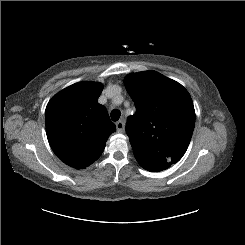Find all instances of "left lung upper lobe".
Listing matches in <instances>:
<instances>
[{"mask_svg":"<svg viewBox=\"0 0 245 245\" xmlns=\"http://www.w3.org/2000/svg\"><path fill=\"white\" fill-rule=\"evenodd\" d=\"M136 106L127 119L126 133L139 165L159 172L178 162L186 152L195 124L188 91L156 71L132 73L124 79Z\"/></svg>","mask_w":245,"mask_h":245,"instance_id":"left-lung-upper-lobe-1","label":"left lung upper lobe"}]
</instances>
